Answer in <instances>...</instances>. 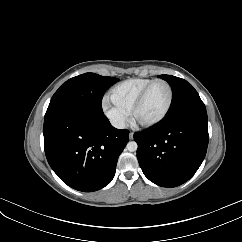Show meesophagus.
I'll return each mask as SVG.
<instances>
[{"label":"esophagus","mask_w":242,"mask_h":242,"mask_svg":"<svg viewBox=\"0 0 242 242\" xmlns=\"http://www.w3.org/2000/svg\"><path fill=\"white\" fill-rule=\"evenodd\" d=\"M129 139H133V133L132 132L129 133Z\"/></svg>","instance_id":"esophagus-1"}]
</instances>
